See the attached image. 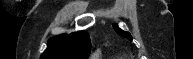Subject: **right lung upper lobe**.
<instances>
[{
  "mask_svg": "<svg viewBox=\"0 0 193 59\" xmlns=\"http://www.w3.org/2000/svg\"><path fill=\"white\" fill-rule=\"evenodd\" d=\"M91 42L87 32L61 34L48 41V48L40 59H87Z\"/></svg>",
  "mask_w": 193,
  "mask_h": 59,
  "instance_id": "obj_1",
  "label": "right lung upper lobe"
}]
</instances>
